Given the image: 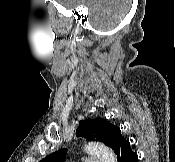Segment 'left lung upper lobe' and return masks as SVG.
<instances>
[{
	"label": "left lung upper lobe",
	"instance_id": "5c2ea615",
	"mask_svg": "<svg viewBox=\"0 0 175 162\" xmlns=\"http://www.w3.org/2000/svg\"><path fill=\"white\" fill-rule=\"evenodd\" d=\"M77 136L85 137L90 141H100L110 148H114L122 137L120 128L102 118L84 120L79 123ZM67 154L66 149H60L46 156L40 162H63Z\"/></svg>",
	"mask_w": 175,
	"mask_h": 162
}]
</instances>
